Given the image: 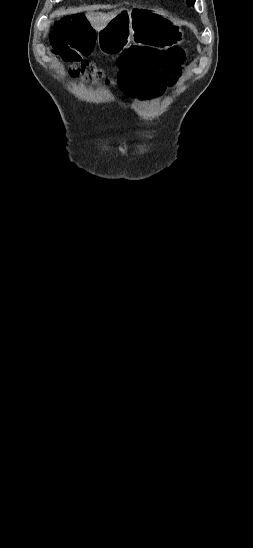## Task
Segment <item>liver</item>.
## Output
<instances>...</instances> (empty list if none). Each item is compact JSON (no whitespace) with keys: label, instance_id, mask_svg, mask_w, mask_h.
<instances>
[{"label":"liver","instance_id":"obj_1","mask_svg":"<svg viewBox=\"0 0 253 548\" xmlns=\"http://www.w3.org/2000/svg\"><path fill=\"white\" fill-rule=\"evenodd\" d=\"M123 9L115 10L113 12L109 13H102V12H89L86 14V18L88 19L90 25L92 28L96 31L102 30L104 27L107 26V24L116 17ZM63 11L59 10L57 11L58 14L62 13Z\"/></svg>","mask_w":253,"mask_h":548}]
</instances>
